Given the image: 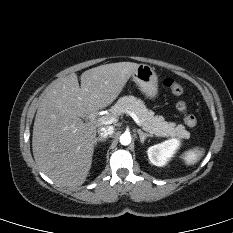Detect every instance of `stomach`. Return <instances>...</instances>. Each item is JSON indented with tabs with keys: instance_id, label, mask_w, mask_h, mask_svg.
<instances>
[{
	"instance_id": "0dacf381",
	"label": "stomach",
	"mask_w": 233,
	"mask_h": 233,
	"mask_svg": "<svg viewBox=\"0 0 233 233\" xmlns=\"http://www.w3.org/2000/svg\"><path fill=\"white\" fill-rule=\"evenodd\" d=\"M140 91L149 99L158 95V77L154 69L147 64H140L132 75Z\"/></svg>"
}]
</instances>
